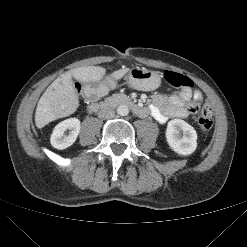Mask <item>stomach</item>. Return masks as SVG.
I'll return each instance as SVG.
<instances>
[{
	"label": "stomach",
	"instance_id": "1",
	"mask_svg": "<svg viewBox=\"0 0 247 247\" xmlns=\"http://www.w3.org/2000/svg\"><path fill=\"white\" fill-rule=\"evenodd\" d=\"M128 84L138 90L150 91L159 87L161 79L157 72L144 68H132L127 77Z\"/></svg>",
	"mask_w": 247,
	"mask_h": 247
}]
</instances>
